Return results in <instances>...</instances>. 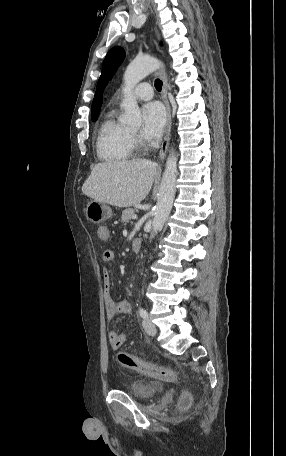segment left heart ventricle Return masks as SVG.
<instances>
[{
  "label": "left heart ventricle",
  "mask_w": 286,
  "mask_h": 456,
  "mask_svg": "<svg viewBox=\"0 0 286 456\" xmlns=\"http://www.w3.org/2000/svg\"><path fill=\"white\" fill-rule=\"evenodd\" d=\"M133 132H137V129H134Z\"/></svg>",
  "instance_id": "left-heart-ventricle-1"
}]
</instances>
